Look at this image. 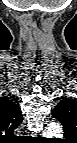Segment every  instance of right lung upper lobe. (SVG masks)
<instances>
[{
	"label": "right lung upper lobe",
	"mask_w": 77,
	"mask_h": 143,
	"mask_svg": "<svg viewBox=\"0 0 77 143\" xmlns=\"http://www.w3.org/2000/svg\"><path fill=\"white\" fill-rule=\"evenodd\" d=\"M21 109L13 101L0 99V129L2 134H13L14 129L22 122Z\"/></svg>",
	"instance_id": "cb5924a9"
}]
</instances>
